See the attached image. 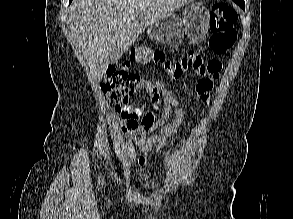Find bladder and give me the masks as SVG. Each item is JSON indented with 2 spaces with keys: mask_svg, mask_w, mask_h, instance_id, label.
<instances>
[{
  "mask_svg": "<svg viewBox=\"0 0 293 219\" xmlns=\"http://www.w3.org/2000/svg\"><path fill=\"white\" fill-rule=\"evenodd\" d=\"M132 183L139 191L150 195L157 193L160 190L158 181L152 175L144 171L133 173Z\"/></svg>",
  "mask_w": 293,
  "mask_h": 219,
  "instance_id": "obj_1",
  "label": "bladder"
}]
</instances>
